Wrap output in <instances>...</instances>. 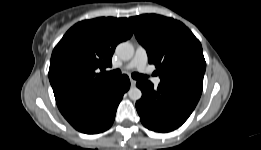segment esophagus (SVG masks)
Listing matches in <instances>:
<instances>
[{
    "mask_svg": "<svg viewBox=\"0 0 261 150\" xmlns=\"http://www.w3.org/2000/svg\"><path fill=\"white\" fill-rule=\"evenodd\" d=\"M130 83H131V87H135L136 86V80L130 79Z\"/></svg>",
    "mask_w": 261,
    "mask_h": 150,
    "instance_id": "esophagus-1",
    "label": "esophagus"
}]
</instances>
